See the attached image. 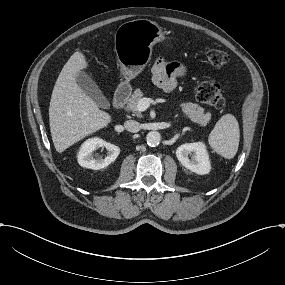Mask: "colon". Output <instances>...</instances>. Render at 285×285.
Listing matches in <instances>:
<instances>
[{
  "instance_id": "colon-1",
  "label": "colon",
  "mask_w": 285,
  "mask_h": 285,
  "mask_svg": "<svg viewBox=\"0 0 285 285\" xmlns=\"http://www.w3.org/2000/svg\"><path fill=\"white\" fill-rule=\"evenodd\" d=\"M206 59L213 67H221L228 60V55L217 48H209L206 51ZM195 97L201 103L223 109L227 105V99L218 83L213 80L201 81L195 89Z\"/></svg>"
}]
</instances>
